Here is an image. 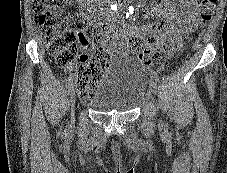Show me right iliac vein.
Here are the masks:
<instances>
[{
    "mask_svg": "<svg viewBox=\"0 0 227 173\" xmlns=\"http://www.w3.org/2000/svg\"><path fill=\"white\" fill-rule=\"evenodd\" d=\"M70 109H71V120H74V107H75V91L74 89H71L70 91Z\"/></svg>",
    "mask_w": 227,
    "mask_h": 173,
    "instance_id": "63e3f726",
    "label": "right iliac vein"
}]
</instances>
